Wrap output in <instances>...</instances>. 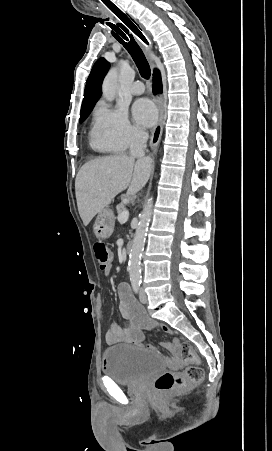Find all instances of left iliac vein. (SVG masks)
<instances>
[{"mask_svg":"<svg viewBox=\"0 0 272 451\" xmlns=\"http://www.w3.org/2000/svg\"><path fill=\"white\" fill-rule=\"evenodd\" d=\"M139 299H140V302H141V303H146V302H148L147 296H146V292H145V290H144L143 288H142L141 291H140Z\"/></svg>","mask_w":272,"mask_h":451,"instance_id":"obj_1","label":"left iliac vein"}]
</instances>
